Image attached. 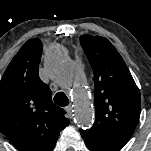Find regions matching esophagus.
Listing matches in <instances>:
<instances>
[{"label":"esophagus","mask_w":151,"mask_h":151,"mask_svg":"<svg viewBox=\"0 0 151 151\" xmlns=\"http://www.w3.org/2000/svg\"><path fill=\"white\" fill-rule=\"evenodd\" d=\"M66 112L71 115L72 114V107L69 105L65 108Z\"/></svg>","instance_id":"34e87169"}]
</instances>
